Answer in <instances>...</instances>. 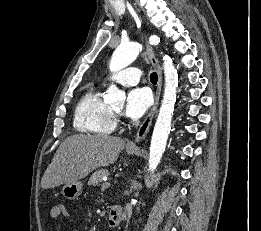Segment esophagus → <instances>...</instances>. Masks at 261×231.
<instances>
[{
  "mask_svg": "<svg viewBox=\"0 0 261 231\" xmlns=\"http://www.w3.org/2000/svg\"><path fill=\"white\" fill-rule=\"evenodd\" d=\"M146 54L148 55V58L150 59L153 67H155L157 74H158V84H157V89L155 93V100H154V105L149 112L148 116L145 118L141 126L139 127L137 134L135 136V139L127 143V148H137L138 144L145 138L147 135L150 126L153 121V117L157 111V107L159 104V99H160V93H161V88H162V69L160 66L159 61L157 60L152 47L149 45V43L146 41Z\"/></svg>",
  "mask_w": 261,
  "mask_h": 231,
  "instance_id": "obj_1",
  "label": "esophagus"
}]
</instances>
